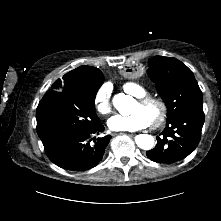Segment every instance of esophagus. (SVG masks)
<instances>
[{
    "mask_svg": "<svg viewBox=\"0 0 221 221\" xmlns=\"http://www.w3.org/2000/svg\"><path fill=\"white\" fill-rule=\"evenodd\" d=\"M116 135H118V133H113L112 134V136H116ZM130 136H134L135 134H133V133H131V134H129Z\"/></svg>",
    "mask_w": 221,
    "mask_h": 221,
    "instance_id": "1",
    "label": "esophagus"
}]
</instances>
